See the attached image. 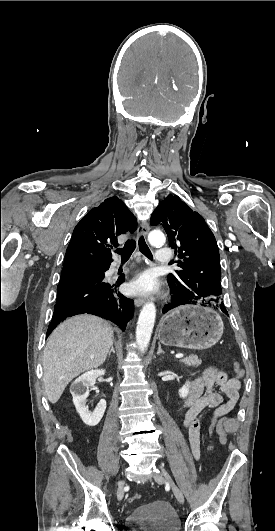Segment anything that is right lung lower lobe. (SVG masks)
<instances>
[{
  "instance_id": "1",
  "label": "right lung lower lobe",
  "mask_w": 275,
  "mask_h": 531,
  "mask_svg": "<svg viewBox=\"0 0 275 531\" xmlns=\"http://www.w3.org/2000/svg\"><path fill=\"white\" fill-rule=\"evenodd\" d=\"M109 267L110 264H82L63 268L47 337L61 321L83 313L108 319L125 329L133 317L134 302L117 290L124 277L113 284L104 281Z\"/></svg>"
}]
</instances>
